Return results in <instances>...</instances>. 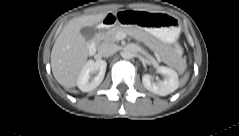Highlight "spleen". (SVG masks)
<instances>
[{"label":"spleen","mask_w":239,"mask_h":136,"mask_svg":"<svg viewBox=\"0 0 239 136\" xmlns=\"http://www.w3.org/2000/svg\"><path fill=\"white\" fill-rule=\"evenodd\" d=\"M189 79V73L187 72L182 78H181V81H180V85H184Z\"/></svg>","instance_id":"3e777b00"}]
</instances>
